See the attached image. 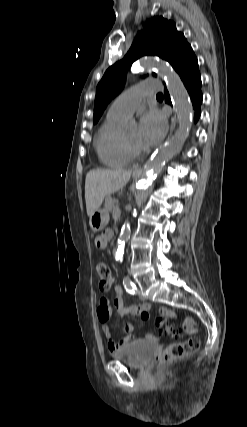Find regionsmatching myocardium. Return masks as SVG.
I'll return each instance as SVG.
<instances>
[{
  "instance_id": "1",
  "label": "myocardium",
  "mask_w": 247,
  "mask_h": 427,
  "mask_svg": "<svg viewBox=\"0 0 247 427\" xmlns=\"http://www.w3.org/2000/svg\"><path fill=\"white\" fill-rule=\"evenodd\" d=\"M122 146L126 153V155L130 159H137L142 157L145 154V151L142 149L134 148L129 144V142L126 140L125 136H122Z\"/></svg>"
}]
</instances>
